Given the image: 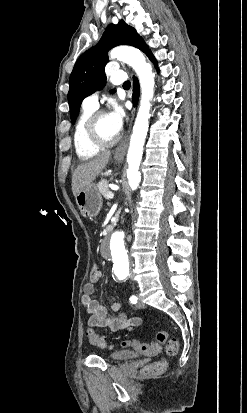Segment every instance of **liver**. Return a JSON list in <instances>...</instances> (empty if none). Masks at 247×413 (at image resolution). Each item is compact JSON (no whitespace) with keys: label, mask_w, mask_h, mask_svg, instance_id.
<instances>
[{"label":"liver","mask_w":247,"mask_h":413,"mask_svg":"<svg viewBox=\"0 0 247 413\" xmlns=\"http://www.w3.org/2000/svg\"><path fill=\"white\" fill-rule=\"evenodd\" d=\"M111 152H102V154H97L94 158L78 164L72 174V192L74 196H77L78 192L84 190L88 184H91L95 180L96 176L100 174L101 170L105 168Z\"/></svg>","instance_id":"6515ba94"}]
</instances>
